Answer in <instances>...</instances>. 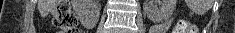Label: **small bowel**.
<instances>
[{
    "instance_id": "c3829d8e",
    "label": "small bowel",
    "mask_w": 235,
    "mask_h": 33,
    "mask_svg": "<svg viewBox=\"0 0 235 33\" xmlns=\"http://www.w3.org/2000/svg\"><path fill=\"white\" fill-rule=\"evenodd\" d=\"M171 22H172L171 20H167L165 22L154 25L150 29V33H167L171 26Z\"/></svg>"
}]
</instances>
